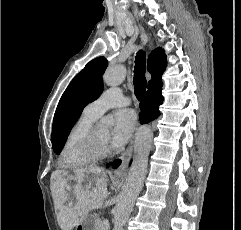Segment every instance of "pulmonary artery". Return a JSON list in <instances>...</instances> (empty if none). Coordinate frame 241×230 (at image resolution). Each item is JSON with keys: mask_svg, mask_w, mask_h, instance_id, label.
I'll return each instance as SVG.
<instances>
[{"mask_svg": "<svg viewBox=\"0 0 241 230\" xmlns=\"http://www.w3.org/2000/svg\"><path fill=\"white\" fill-rule=\"evenodd\" d=\"M129 104V99L125 97L119 88H109L98 98L90 102L84 109L86 113L96 118L100 117L106 110Z\"/></svg>", "mask_w": 241, "mask_h": 230, "instance_id": "e3ab8cb5", "label": "pulmonary artery"}]
</instances>
